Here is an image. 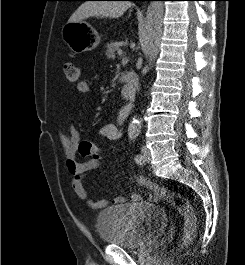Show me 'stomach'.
Listing matches in <instances>:
<instances>
[{
	"label": "stomach",
	"mask_w": 245,
	"mask_h": 265,
	"mask_svg": "<svg viewBox=\"0 0 245 265\" xmlns=\"http://www.w3.org/2000/svg\"><path fill=\"white\" fill-rule=\"evenodd\" d=\"M61 35L75 54L95 49L101 40L98 32L85 21L67 22L62 28Z\"/></svg>",
	"instance_id": "stomach-1"
}]
</instances>
